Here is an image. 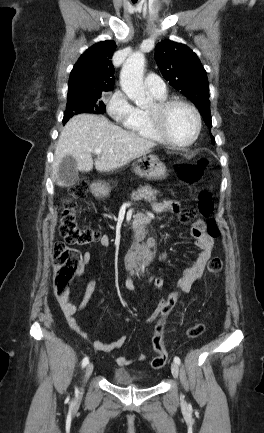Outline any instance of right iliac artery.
Masks as SVG:
<instances>
[{"label": "right iliac artery", "mask_w": 264, "mask_h": 433, "mask_svg": "<svg viewBox=\"0 0 264 433\" xmlns=\"http://www.w3.org/2000/svg\"><path fill=\"white\" fill-rule=\"evenodd\" d=\"M88 362H89V358H88V357H85V358L82 360V367L84 368V367L88 364Z\"/></svg>", "instance_id": "right-iliac-artery-1"}]
</instances>
